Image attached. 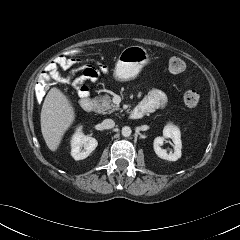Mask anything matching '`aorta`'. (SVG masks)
<instances>
[{
	"instance_id": "762f6f07",
	"label": "aorta",
	"mask_w": 240,
	"mask_h": 240,
	"mask_svg": "<svg viewBox=\"0 0 240 240\" xmlns=\"http://www.w3.org/2000/svg\"><path fill=\"white\" fill-rule=\"evenodd\" d=\"M121 133H122V135H123L124 137H129V136L131 135V133H132V130H131V128H130L129 126H124V127L122 128Z\"/></svg>"
}]
</instances>
